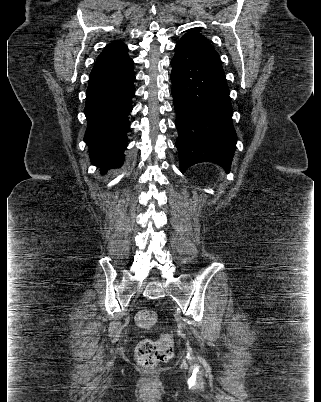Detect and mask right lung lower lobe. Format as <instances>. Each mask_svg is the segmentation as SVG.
Listing matches in <instances>:
<instances>
[{"mask_svg":"<svg viewBox=\"0 0 321 402\" xmlns=\"http://www.w3.org/2000/svg\"><path fill=\"white\" fill-rule=\"evenodd\" d=\"M132 64L120 67H94L86 92L87 129L84 141L93 165L101 173L119 168L128 145V114L135 94Z\"/></svg>","mask_w":321,"mask_h":402,"instance_id":"obj_1","label":"right lung lower lobe"}]
</instances>
